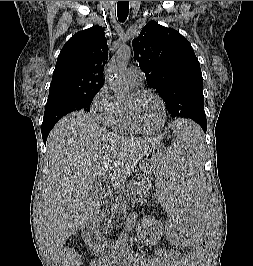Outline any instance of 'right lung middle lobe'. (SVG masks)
Returning <instances> with one entry per match:
<instances>
[{"label": "right lung middle lobe", "mask_w": 253, "mask_h": 266, "mask_svg": "<svg viewBox=\"0 0 253 266\" xmlns=\"http://www.w3.org/2000/svg\"><path fill=\"white\" fill-rule=\"evenodd\" d=\"M99 90L89 92H61L48 96L43 126L56 123L64 115L81 110L90 111L91 102Z\"/></svg>", "instance_id": "1"}]
</instances>
